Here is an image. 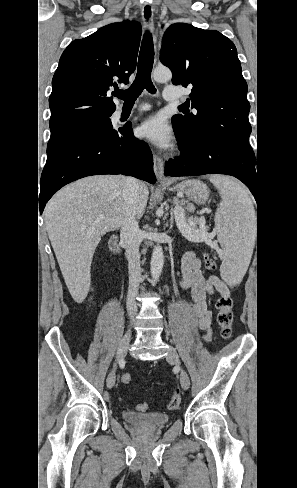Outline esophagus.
I'll use <instances>...</instances> for the list:
<instances>
[{"label":"esophagus","mask_w":297,"mask_h":488,"mask_svg":"<svg viewBox=\"0 0 297 488\" xmlns=\"http://www.w3.org/2000/svg\"><path fill=\"white\" fill-rule=\"evenodd\" d=\"M153 12V6L150 3H145L142 8L143 25L150 32L153 30ZM153 168L158 181L165 182L166 178L164 177V163L161 157L157 154H155L153 158Z\"/></svg>","instance_id":"obj_1"}]
</instances>
